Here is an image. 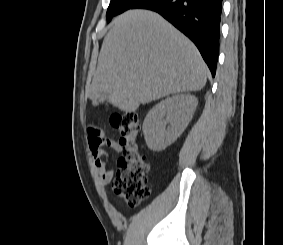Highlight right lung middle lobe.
Instances as JSON below:
<instances>
[{
    "mask_svg": "<svg viewBox=\"0 0 283 245\" xmlns=\"http://www.w3.org/2000/svg\"><path fill=\"white\" fill-rule=\"evenodd\" d=\"M139 1L141 0H111L106 13L107 22H109L113 16L131 9Z\"/></svg>",
    "mask_w": 283,
    "mask_h": 245,
    "instance_id": "dd1d6c3e",
    "label": "right lung middle lobe"
}]
</instances>
